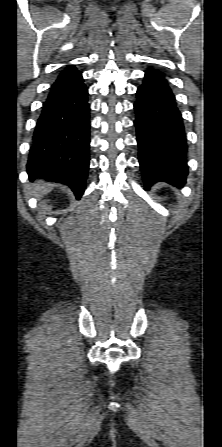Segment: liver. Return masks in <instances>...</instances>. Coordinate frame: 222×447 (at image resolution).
<instances>
[{
    "label": "liver",
    "mask_w": 222,
    "mask_h": 447,
    "mask_svg": "<svg viewBox=\"0 0 222 447\" xmlns=\"http://www.w3.org/2000/svg\"><path fill=\"white\" fill-rule=\"evenodd\" d=\"M33 186L35 187L33 193L34 196L37 198H41L44 194L48 193L52 188L51 185L47 183H42L40 181L34 183Z\"/></svg>",
    "instance_id": "6515ba94"
}]
</instances>
